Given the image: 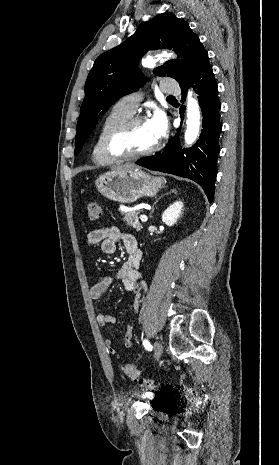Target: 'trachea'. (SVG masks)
Masks as SVG:
<instances>
[{
  "label": "trachea",
  "mask_w": 279,
  "mask_h": 465,
  "mask_svg": "<svg viewBox=\"0 0 279 465\" xmlns=\"http://www.w3.org/2000/svg\"><path fill=\"white\" fill-rule=\"evenodd\" d=\"M167 99H174V97H173V96H168V98H167Z\"/></svg>",
  "instance_id": "trachea-1"
}]
</instances>
